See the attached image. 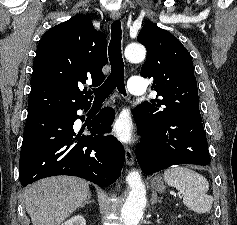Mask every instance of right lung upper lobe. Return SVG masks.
Here are the masks:
<instances>
[{
    "label": "right lung upper lobe",
    "mask_w": 237,
    "mask_h": 225,
    "mask_svg": "<svg viewBox=\"0 0 237 225\" xmlns=\"http://www.w3.org/2000/svg\"><path fill=\"white\" fill-rule=\"evenodd\" d=\"M106 38L91 18L76 15L49 29L39 41L33 62L28 116L74 108L89 103L92 86L104 81L107 64Z\"/></svg>",
    "instance_id": "cb5924a9"
}]
</instances>
